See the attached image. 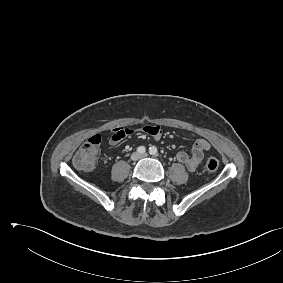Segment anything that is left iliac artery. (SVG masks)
<instances>
[{
	"mask_svg": "<svg viewBox=\"0 0 283 283\" xmlns=\"http://www.w3.org/2000/svg\"><path fill=\"white\" fill-rule=\"evenodd\" d=\"M157 148L155 147V146H151L150 148H149V153L151 154V155H156L157 154Z\"/></svg>",
	"mask_w": 283,
	"mask_h": 283,
	"instance_id": "44dca946",
	"label": "left iliac artery"
}]
</instances>
